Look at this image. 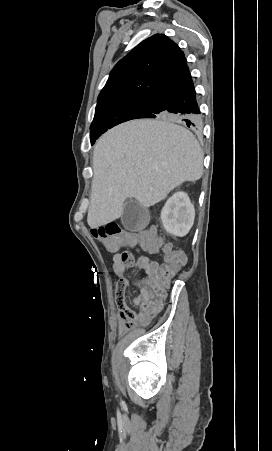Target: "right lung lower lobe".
I'll use <instances>...</instances> for the list:
<instances>
[{
  "label": "right lung lower lobe",
  "instance_id": "98d812e1",
  "mask_svg": "<svg viewBox=\"0 0 272 451\" xmlns=\"http://www.w3.org/2000/svg\"><path fill=\"white\" fill-rule=\"evenodd\" d=\"M199 115L197 95L186 65L150 96L147 108L135 119H171L196 127L200 124Z\"/></svg>",
  "mask_w": 272,
  "mask_h": 451
}]
</instances>
